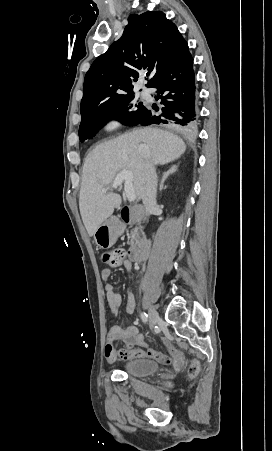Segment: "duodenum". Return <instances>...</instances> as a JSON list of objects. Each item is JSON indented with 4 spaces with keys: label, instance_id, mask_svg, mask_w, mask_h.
<instances>
[{
    "label": "duodenum",
    "instance_id": "obj_1",
    "mask_svg": "<svg viewBox=\"0 0 272 451\" xmlns=\"http://www.w3.org/2000/svg\"><path fill=\"white\" fill-rule=\"evenodd\" d=\"M142 214V208L139 206H124L121 209V219L126 223L137 221ZM148 242L142 241L130 247L128 257L131 261H140L146 257Z\"/></svg>",
    "mask_w": 272,
    "mask_h": 451
}]
</instances>
